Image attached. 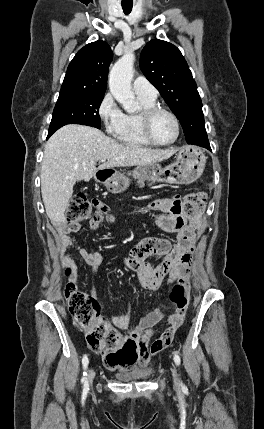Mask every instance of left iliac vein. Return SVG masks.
<instances>
[{"instance_id": "left-iliac-vein-1", "label": "left iliac vein", "mask_w": 264, "mask_h": 429, "mask_svg": "<svg viewBox=\"0 0 264 429\" xmlns=\"http://www.w3.org/2000/svg\"><path fill=\"white\" fill-rule=\"evenodd\" d=\"M172 372H173L174 383L176 385H178L179 384V375H178V372H177V370L175 368L172 370Z\"/></svg>"}]
</instances>
